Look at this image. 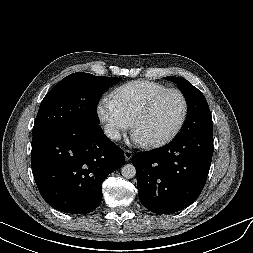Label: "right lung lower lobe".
Here are the masks:
<instances>
[{
    "label": "right lung lower lobe",
    "mask_w": 253,
    "mask_h": 253,
    "mask_svg": "<svg viewBox=\"0 0 253 253\" xmlns=\"http://www.w3.org/2000/svg\"><path fill=\"white\" fill-rule=\"evenodd\" d=\"M124 164V152L101 127L87 125L32 138L31 167L38 190L53 208L86 214L102 199V183Z\"/></svg>",
    "instance_id": "98d812e1"
}]
</instances>
